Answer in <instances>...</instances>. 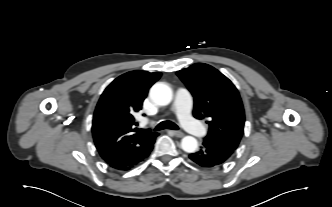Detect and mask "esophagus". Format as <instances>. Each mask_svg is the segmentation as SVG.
Here are the masks:
<instances>
[{
    "label": "esophagus",
    "mask_w": 332,
    "mask_h": 207,
    "mask_svg": "<svg viewBox=\"0 0 332 207\" xmlns=\"http://www.w3.org/2000/svg\"><path fill=\"white\" fill-rule=\"evenodd\" d=\"M172 133L175 137H178V138H181L184 136V133L181 131H172Z\"/></svg>",
    "instance_id": "1"
}]
</instances>
